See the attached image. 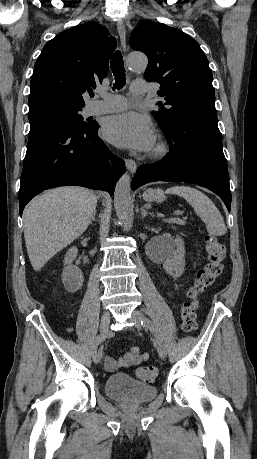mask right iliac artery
<instances>
[{
    "label": "right iliac artery",
    "mask_w": 257,
    "mask_h": 459,
    "mask_svg": "<svg viewBox=\"0 0 257 459\" xmlns=\"http://www.w3.org/2000/svg\"><path fill=\"white\" fill-rule=\"evenodd\" d=\"M105 338H106V334H99L93 339L92 346H91L92 354L96 352L99 344L103 342ZM100 352L102 354V350H100Z\"/></svg>",
    "instance_id": "obj_1"
}]
</instances>
